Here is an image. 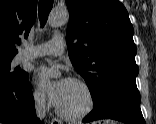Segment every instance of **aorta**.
Segmentation results:
<instances>
[{
	"mask_svg": "<svg viewBox=\"0 0 156 124\" xmlns=\"http://www.w3.org/2000/svg\"><path fill=\"white\" fill-rule=\"evenodd\" d=\"M68 19H69L68 11L66 9L57 8L51 11L48 18V24L51 27H57L66 24Z\"/></svg>",
	"mask_w": 156,
	"mask_h": 124,
	"instance_id": "aorta-1",
	"label": "aorta"
}]
</instances>
